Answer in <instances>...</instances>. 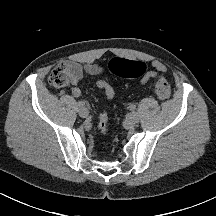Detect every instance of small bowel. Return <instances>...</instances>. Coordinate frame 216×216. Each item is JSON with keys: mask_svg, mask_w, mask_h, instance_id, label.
Wrapping results in <instances>:
<instances>
[{"mask_svg": "<svg viewBox=\"0 0 216 216\" xmlns=\"http://www.w3.org/2000/svg\"><path fill=\"white\" fill-rule=\"evenodd\" d=\"M64 64L68 68L69 79L71 83V93L74 97L81 96V82L86 75L98 76L102 74L103 68L95 63L79 64L73 61H66ZM152 69L147 71L141 78L140 83L142 85L154 80L167 72L165 64L159 60H153L151 62ZM96 86L103 90L106 98L111 100L115 96V91L112 85L106 79H100L96 82Z\"/></svg>", "mask_w": 216, "mask_h": 216, "instance_id": "1", "label": "small bowel"}]
</instances>
